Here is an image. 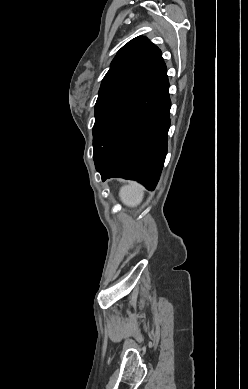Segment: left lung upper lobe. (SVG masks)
Returning <instances> with one entry per match:
<instances>
[{
  "label": "left lung upper lobe",
  "instance_id": "5c2ea615",
  "mask_svg": "<svg viewBox=\"0 0 248 389\" xmlns=\"http://www.w3.org/2000/svg\"><path fill=\"white\" fill-rule=\"evenodd\" d=\"M160 56V49L146 37L139 36L125 44L118 51L102 80L95 104V117L133 84ZM103 142L104 140L93 134L94 150Z\"/></svg>",
  "mask_w": 248,
  "mask_h": 389
}]
</instances>
